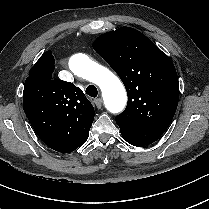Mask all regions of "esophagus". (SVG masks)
Listing matches in <instances>:
<instances>
[{
	"mask_svg": "<svg viewBox=\"0 0 209 209\" xmlns=\"http://www.w3.org/2000/svg\"><path fill=\"white\" fill-rule=\"evenodd\" d=\"M94 103H95L97 108H101L102 107V99L101 98L94 99Z\"/></svg>",
	"mask_w": 209,
	"mask_h": 209,
	"instance_id": "esophagus-1",
	"label": "esophagus"
}]
</instances>
